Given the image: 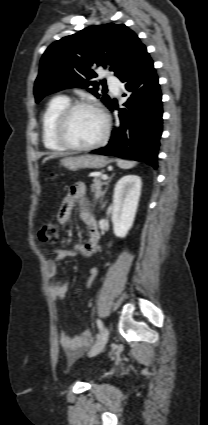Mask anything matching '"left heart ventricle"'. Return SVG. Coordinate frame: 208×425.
<instances>
[{
    "label": "left heart ventricle",
    "mask_w": 208,
    "mask_h": 425,
    "mask_svg": "<svg viewBox=\"0 0 208 425\" xmlns=\"http://www.w3.org/2000/svg\"><path fill=\"white\" fill-rule=\"evenodd\" d=\"M103 129V120L96 111L78 109L70 119L67 136L72 143L84 146L96 142Z\"/></svg>",
    "instance_id": "obj_1"
}]
</instances>
